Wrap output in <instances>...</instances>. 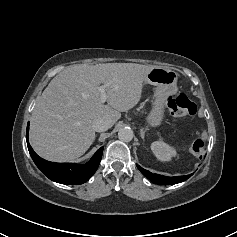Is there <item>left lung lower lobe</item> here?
<instances>
[{
	"mask_svg": "<svg viewBox=\"0 0 237 237\" xmlns=\"http://www.w3.org/2000/svg\"><path fill=\"white\" fill-rule=\"evenodd\" d=\"M138 169L142 172L144 176H146L149 180H151L153 183L159 184V185H172L176 183L183 182L187 180L189 177L192 176L190 175H185V176H175V177H167L159 174H153L139 165H137Z\"/></svg>",
	"mask_w": 237,
	"mask_h": 237,
	"instance_id": "obj_1",
	"label": "left lung lower lobe"
}]
</instances>
